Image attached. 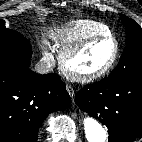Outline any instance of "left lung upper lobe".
<instances>
[{
    "mask_svg": "<svg viewBox=\"0 0 142 142\" xmlns=\"http://www.w3.org/2000/svg\"><path fill=\"white\" fill-rule=\"evenodd\" d=\"M119 15L126 30V47L117 67L108 77L142 73V28L127 16Z\"/></svg>",
    "mask_w": 142,
    "mask_h": 142,
    "instance_id": "obj_1",
    "label": "left lung upper lobe"
}]
</instances>
